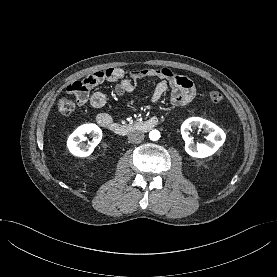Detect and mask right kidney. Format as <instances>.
<instances>
[{"label": "right kidney", "mask_w": 277, "mask_h": 277, "mask_svg": "<svg viewBox=\"0 0 277 277\" xmlns=\"http://www.w3.org/2000/svg\"><path fill=\"white\" fill-rule=\"evenodd\" d=\"M85 134H91L93 136L92 143L90 145H83L81 142L86 139ZM102 139V131L96 124H83L79 126L68 138L67 147L69 151L78 157L89 156L95 146L99 144Z\"/></svg>", "instance_id": "1"}]
</instances>
